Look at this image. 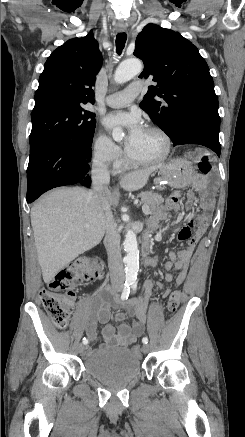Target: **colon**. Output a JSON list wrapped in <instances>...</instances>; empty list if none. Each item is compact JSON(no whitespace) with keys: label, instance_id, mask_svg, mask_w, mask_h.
Returning <instances> with one entry per match:
<instances>
[{"label":"colon","instance_id":"5ec220e1","mask_svg":"<svg viewBox=\"0 0 245 437\" xmlns=\"http://www.w3.org/2000/svg\"><path fill=\"white\" fill-rule=\"evenodd\" d=\"M211 162L208 156L202 155L198 159V168L201 173L208 174L211 170ZM180 193H173L170 203H177ZM102 276L101 268L93 260H84L77 265V272L68 268L59 272L50 282L47 289L41 292L42 304L58 328H65L70 317V306L74 300L73 288L83 282H92ZM181 292L173 291L167 301V311L174 313L180 304ZM136 355L142 354V348L135 344L132 347Z\"/></svg>","mask_w":245,"mask_h":437}]
</instances>
